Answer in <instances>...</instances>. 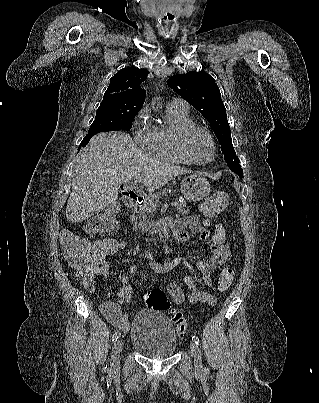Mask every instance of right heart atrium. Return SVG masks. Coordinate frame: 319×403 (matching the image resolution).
<instances>
[{"instance_id": "obj_1", "label": "right heart atrium", "mask_w": 319, "mask_h": 403, "mask_svg": "<svg viewBox=\"0 0 319 403\" xmlns=\"http://www.w3.org/2000/svg\"><path fill=\"white\" fill-rule=\"evenodd\" d=\"M131 125L135 143L141 149L151 151L154 143L155 126L149 119L148 107H143L136 113Z\"/></svg>"}]
</instances>
